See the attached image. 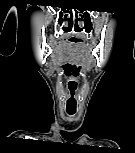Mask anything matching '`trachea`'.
I'll list each match as a JSON object with an SVG mask.
<instances>
[{"label":"trachea","mask_w":135,"mask_h":153,"mask_svg":"<svg viewBox=\"0 0 135 153\" xmlns=\"http://www.w3.org/2000/svg\"><path fill=\"white\" fill-rule=\"evenodd\" d=\"M75 112H73V111H68V114L69 115H73Z\"/></svg>","instance_id":"3493384b"}]
</instances>
